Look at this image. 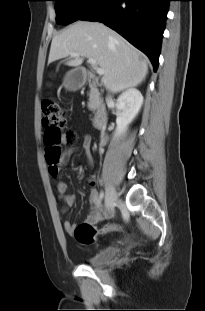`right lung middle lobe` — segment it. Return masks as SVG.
Here are the masks:
<instances>
[{
	"label": "right lung middle lobe",
	"instance_id": "dd1d6c3e",
	"mask_svg": "<svg viewBox=\"0 0 205 311\" xmlns=\"http://www.w3.org/2000/svg\"><path fill=\"white\" fill-rule=\"evenodd\" d=\"M55 1L56 21L67 25L80 20L95 9L101 0H53Z\"/></svg>",
	"mask_w": 205,
	"mask_h": 311
}]
</instances>
